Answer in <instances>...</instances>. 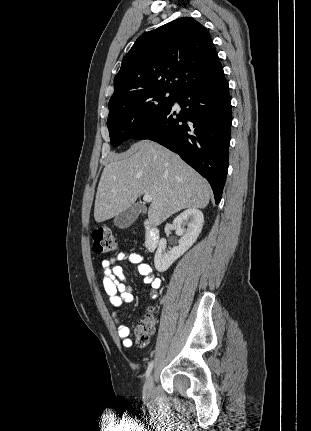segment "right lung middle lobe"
I'll use <instances>...</instances> for the list:
<instances>
[{
  "label": "right lung middle lobe",
  "instance_id": "obj_1",
  "mask_svg": "<svg viewBox=\"0 0 311 431\" xmlns=\"http://www.w3.org/2000/svg\"><path fill=\"white\" fill-rule=\"evenodd\" d=\"M167 93H170L168 97L165 96ZM175 98L174 92L151 90L110 99L107 126L111 144L118 146L132 138L170 107Z\"/></svg>",
  "mask_w": 311,
  "mask_h": 431
}]
</instances>
